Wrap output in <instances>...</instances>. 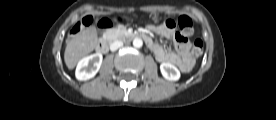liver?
<instances>
[{
  "label": "liver",
  "instance_id": "obj_1",
  "mask_svg": "<svg viewBox=\"0 0 276 120\" xmlns=\"http://www.w3.org/2000/svg\"><path fill=\"white\" fill-rule=\"evenodd\" d=\"M97 32L94 27L84 28L73 36L67 43L64 61L68 69H73L76 64L95 48Z\"/></svg>",
  "mask_w": 276,
  "mask_h": 120
}]
</instances>
